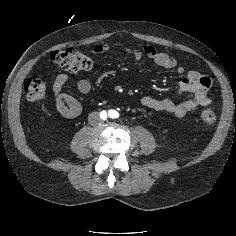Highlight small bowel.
<instances>
[{"instance_id":"c3829d8e","label":"small bowel","mask_w":236,"mask_h":236,"mask_svg":"<svg viewBox=\"0 0 236 236\" xmlns=\"http://www.w3.org/2000/svg\"><path fill=\"white\" fill-rule=\"evenodd\" d=\"M111 50L109 44H98L93 47V54L100 55ZM123 52L135 60L143 57L151 59L156 65L175 70L182 75L181 81L175 88L174 95L169 98H155L144 96L140 103L157 111H163L178 118H184L202 107L211 104L208 96V90L211 86V80L199 73L198 71H185L184 67L178 65L177 61L168 54L157 50L155 47L148 45L142 49L125 47ZM69 79L66 73L59 74L53 83V95L57 112L64 118H75L81 112V104L70 94L63 91L64 85ZM77 89L82 94H87L91 90V84L87 79H80L77 82ZM184 92L192 93V97L186 101H180L179 96Z\"/></svg>"}]
</instances>
